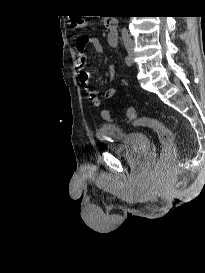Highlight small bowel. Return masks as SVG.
Wrapping results in <instances>:
<instances>
[{"label":"small bowel","instance_id":"obj_1","mask_svg":"<svg viewBox=\"0 0 205 273\" xmlns=\"http://www.w3.org/2000/svg\"><path fill=\"white\" fill-rule=\"evenodd\" d=\"M87 45H91L96 53L103 52V48L96 37H87L84 35H80L76 38L75 52H76V67L79 70L78 81L80 85L82 86V88L86 91L92 105L94 107H100L102 105V99L99 96L98 91L89 89V81L91 76L90 72L83 70L87 62V55L85 53V49ZM114 74H115L114 67L111 66L108 70L109 78H113ZM115 95H116L115 88H109L105 93V97L108 99L113 98ZM106 113H108L111 116V118H108ZM102 117L103 119L107 121L112 120V115L108 110H104L102 112Z\"/></svg>","mask_w":205,"mask_h":273}]
</instances>
